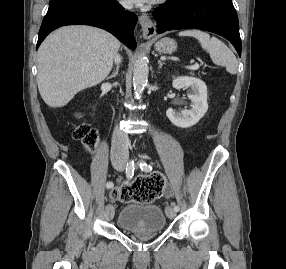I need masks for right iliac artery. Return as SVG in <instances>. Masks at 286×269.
<instances>
[{
	"label": "right iliac artery",
	"mask_w": 286,
	"mask_h": 269,
	"mask_svg": "<svg viewBox=\"0 0 286 269\" xmlns=\"http://www.w3.org/2000/svg\"><path fill=\"white\" fill-rule=\"evenodd\" d=\"M134 169H135L134 161L128 162L126 166V172H125L128 179H131L133 177ZM106 187L107 188L113 187V183L107 182Z\"/></svg>",
	"instance_id": "obj_1"
}]
</instances>
